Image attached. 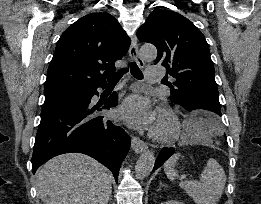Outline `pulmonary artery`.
I'll return each instance as SVG.
<instances>
[{
  "label": "pulmonary artery",
  "mask_w": 261,
  "mask_h": 204,
  "mask_svg": "<svg viewBox=\"0 0 261 204\" xmlns=\"http://www.w3.org/2000/svg\"><path fill=\"white\" fill-rule=\"evenodd\" d=\"M163 77V70L158 66H151L146 70V80L148 82H157Z\"/></svg>",
  "instance_id": "e3ab8cb5"
}]
</instances>
